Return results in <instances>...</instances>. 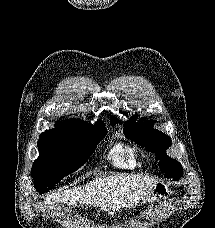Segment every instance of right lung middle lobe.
Instances as JSON below:
<instances>
[{
    "label": "right lung middle lobe",
    "mask_w": 215,
    "mask_h": 228,
    "mask_svg": "<svg viewBox=\"0 0 215 228\" xmlns=\"http://www.w3.org/2000/svg\"><path fill=\"white\" fill-rule=\"evenodd\" d=\"M106 132L104 124H96L41 134L37 143L40 156L31 171L36 190L42 194L79 169Z\"/></svg>",
    "instance_id": "right-lung-middle-lobe-1"
}]
</instances>
